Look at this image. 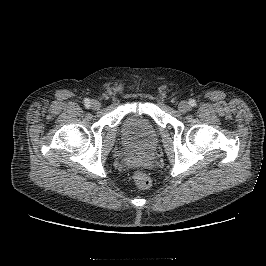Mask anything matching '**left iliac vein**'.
<instances>
[{
  "mask_svg": "<svg viewBox=\"0 0 266 266\" xmlns=\"http://www.w3.org/2000/svg\"><path fill=\"white\" fill-rule=\"evenodd\" d=\"M189 109H190V105H189V103L187 101H181L179 103V105H178V110L180 112H183L184 113V112L189 111Z\"/></svg>",
  "mask_w": 266,
  "mask_h": 266,
  "instance_id": "left-iliac-vein-1",
  "label": "left iliac vein"
}]
</instances>
